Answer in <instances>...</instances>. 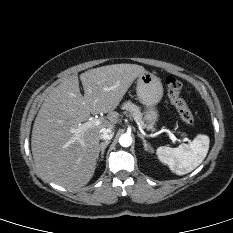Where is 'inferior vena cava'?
Listing matches in <instances>:
<instances>
[{"label": "inferior vena cava", "instance_id": "obj_1", "mask_svg": "<svg viewBox=\"0 0 233 233\" xmlns=\"http://www.w3.org/2000/svg\"><path fill=\"white\" fill-rule=\"evenodd\" d=\"M114 136V132L111 128H102L100 130V139L102 140H110Z\"/></svg>", "mask_w": 233, "mask_h": 233}]
</instances>
